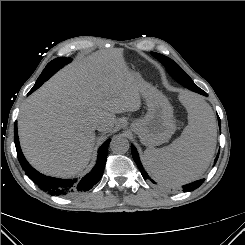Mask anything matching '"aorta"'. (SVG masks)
<instances>
[{
  "instance_id": "obj_1",
  "label": "aorta",
  "mask_w": 245,
  "mask_h": 245,
  "mask_svg": "<svg viewBox=\"0 0 245 245\" xmlns=\"http://www.w3.org/2000/svg\"><path fill=\"white\" fill-rule=\"evenodd\" d=\"M129 146V141L121 135L115 136L110 143L112 152L117 154L126 153L129 150Z\"/></svg>"
}]
</instances>
